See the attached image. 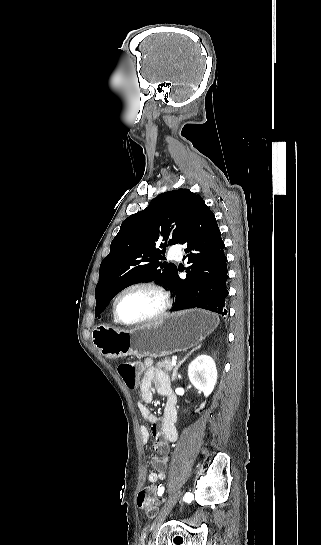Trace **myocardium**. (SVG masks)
<instances>
[{
  "label": "myocardium",
  "instance_id": "f54148a6",
  "mask_svg": "<svg viewBox=\"0 0 321 545\" xmlns=\"http://www.w3.org/2000/svg\"><path fill=\"white\" fill-rule=\"evenodd\" d=\"M135 289H146V290L155 292L161 298L162 306L154 315L148 318H145L143 320L130 323V322L124 321L120 317L118 312V303L122 295H124L128 291L135 290ZM172 306H173V300H172L170 292L166 288L154 282H139V283L128 285L127 287L119 291V293L116 295L113 302V315L118 324L124 327L135 328V327L143 326V325L160 320L162 317H164L168 313V311L172 308Z\"/></svg>",
  "mask_w": 321,
  "mask_h": 545
}]
</instances>
